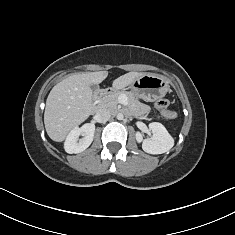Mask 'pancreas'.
I'll use <instances>...</instances> for the list:
<instances>
[{"instance_id":"obj_1","label":"pancreas","mask_w":235,"mask_h":235,"mask_svg":"<svg viewBox=\"0 0 235 235\" xmlns=\"http://www.w3.org/2000/svg\"><path fill=\"white\" fill-rule=\"evenodd\" d=\"M124 96L127 98V104L131 113L134 116L141 115L144 111L149 110L148 106L140 103L132 92H110L109 94L100 98V105L111 110H115L119 103V97Z\"/></svg>"}]
</instances>
